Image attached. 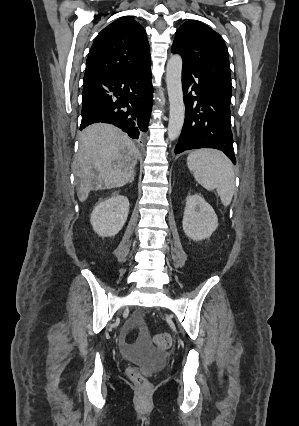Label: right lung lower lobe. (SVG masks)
Here are the masks:
<instances>
[{"label": "right lung lower lobe", "instance_id": "1", "mask_svg": "<svg viewBox=\"0 0 299 426\" xmlns=\"http://www.w3.org/2000/svg\"><path fill=\"white\" fill-rule=\"evenodd\" d=\"M150 65L84 80L80 130L105 122L121 128L131 138H141L148 130L153 102Z\"/></svg>", "mask_w": 299, "mask_h": 426}]
</instances>
